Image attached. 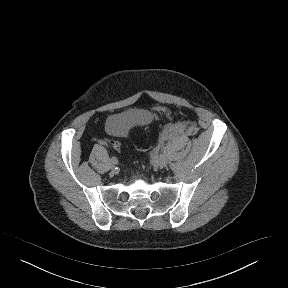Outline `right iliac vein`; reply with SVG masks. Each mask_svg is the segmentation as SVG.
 <instances>
[{"mask_svg":"<svg viewBox=\"0 0 288 288\" xmlns=\"http://www.w3.org/2000/svg\"><path fill=\"white\" fill-rule=\"evenodd\" d=\"M115 165H116V163H113V162H111V164H110V166H111L112 169L115 168Z\"/></svg>","mask_w":288,"mask_h":288,"instance_id":"right-iliac-vein-1","label":"right iliac vein"}]
</instances>
